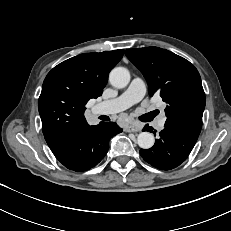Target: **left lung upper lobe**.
<instances>
[{
	"mask_svg": "<svg viewBox=\"0 0 231 231\" xmlns=\"http://www.w3.org/2000/svg\"><path fill=\"white\" fill-rule=\"evenodd\" d=\"M125 54L144 75L149 95L160 93L167 103L166 123L198 138L205 94L197 69L186 59L158 47L128 49Z\"/></svg>",
	"mask_w": 231,
	"mask_h": 231,
	"instance_id": "1",
	"label": "left lung upper lobe"
}]
</instances>
